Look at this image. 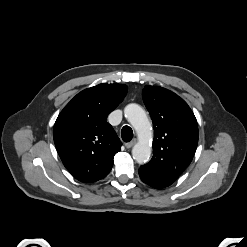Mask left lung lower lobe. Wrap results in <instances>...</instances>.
<instances>
[{
  "mask_svg": "<svg viewBox=\"0 0 247 247\" xmlns=\"http://www.w3.org/2000/svg\"><path fill=\"white\" fill-rule=\"evenodd\" d=\"M139 175H140L141 180H142L144 183L150 185L151 187H154V188H156V189H162V188L165 187L163 184L159 183L158 181H156V180H154V179H151V178L145 176V175H144L143 173H141V172H139Z\"/></svg>",
  "mask_w": 247,
  "mask_h": 247,
  "instance_id": "1",
  "label": "left lung lower lobe"
}]
</instances>
